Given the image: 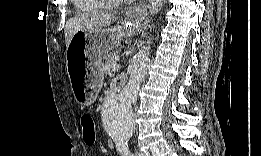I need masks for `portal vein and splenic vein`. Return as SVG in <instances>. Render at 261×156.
Instances as JSON below:
<instances>
[{
    "instance_id": "obj_1",
    "label": "portal vein and splenic vein",
    "mask_w": 261,
    "mask_h": 156,
    "mask_svg": "<svg viewBox=\"0 0 261 156\" xmlns=\"http://www.w3.org/2000/svg\"><path fill=\"white\" fill-rule=\"evenodd\" d=\"M119 64H114L113 66H112V71H118L119 70Z\"/></svg>"
}]
</instances>
